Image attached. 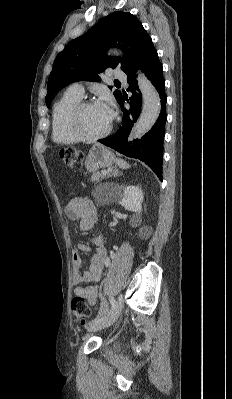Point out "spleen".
Wrapping results in <instances>:
<instances>
[{
    "instance_id": "spleen-1",
    "label": "spleen",
    "mask_w": 232,
    "mask_h": 399,
    "mask_svg": "<svg viewBox=\"0 0 232 399\" xmlns=\"http://www.w3.org/2000/svg\"><path fill=\"white\" fill-rule=\"evenodd\" d=\"M116 164H118L119 168H122V170H126V168H129V164H127V162H124V160H116Z\"/></svg>"
}]
</instances>
